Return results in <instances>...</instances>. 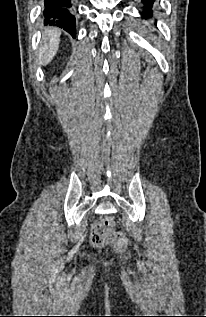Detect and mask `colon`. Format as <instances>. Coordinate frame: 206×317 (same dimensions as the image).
I'll return each mask as SVG.
<instances>
[{
  "label": "colon",
  "mask_w": 206,
  "mask_h": 317,
  "mask_svg": "<svg viewBox=\"0 0 206 317\" xmlns=\"http://www.w3.org/2000/svg\"><path fill=\"white\" fill-rule=\"evenodd\" d=\"M90 240L96 247L110 245L117 251H124L127 247L126 237L115 229L113 220L108 217L97 224L91 233Z\"/></svg>",
  "instance_id": "1"
}]
</instances>
